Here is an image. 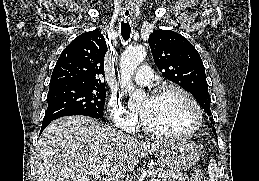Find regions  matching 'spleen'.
I'll return each instance as SVG.
<instances>
[{
    "mask_svg": "<svg viewBox=\"0 0 259 181\" xmlns=\"http://www.w3.org/2000/svg\"><path fill=\"white\" fill-rule=\"evenodd\" d=\"M208 173H209V181H218V167L216 160L214 158H211L209 165H208Z\"/></svg>",
    "mask_w": 259,
    "mask_h": 181,
    "instance_id": "spleen-1",
    "label": "spleen"
}]
</instances>
